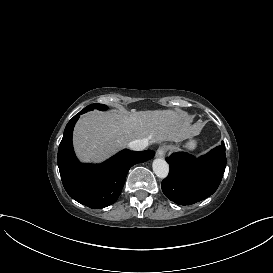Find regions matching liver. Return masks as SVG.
<instances>
[{
  "label": "liver",
  "instance_id": "6515ba94",
  "mask_svg": "<svg viewBox=\"0 0 273 273\" xmlns=\"http://www.w3.org/2000/svg\"><path fill=\"white\" fill-rule=\"evenodd\" d=\"M199 131L192 125V115L182 109L100 111L86 114L76 122L72 143L81 164H101L130 141H191L196 140L193 136Z\"/></svg>",
  "mask_w": 273,
  "mask_h": 273
}]
</instances>
